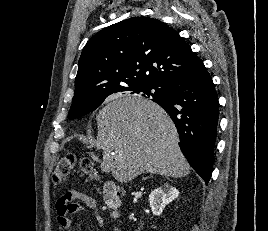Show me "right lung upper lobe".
<instances>
[{
  "label": "right lung upper lobe",
  "mask_w": 268,
  "mask_h": 231,
  "mask_svg": "<svg viewBox=\"0 0 268 231\" xmlns=\"http://www.w3.org/2000/svg\"><path fill=\"white\" fill-rule=\"evenodd\" d=\"M203 66L165 23L132 17L102 29L87 42L78 62L72 103L92 104L126 87H163Z\"/></svg>",
  "instance_id": "1"
}]
</instances>
